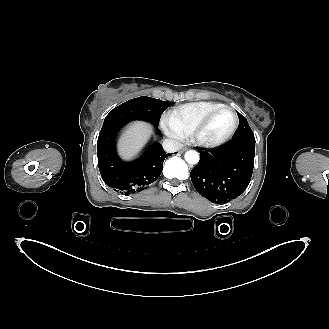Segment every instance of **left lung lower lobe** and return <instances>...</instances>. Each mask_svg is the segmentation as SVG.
Listing matches in <instances>:
<instances>
[{"mask_svg": "<svg viewBox=\"0 0 329 329\" xmlns=\"http://www.w3.org/2000/svg\"><path fill=\"white\" fill-rule=\"evenodd\" d=\"M200 161L191 170L195 189L209 201L220 203L240 196L254 168L255 141H230L218 148H200Z\"/></svg>", "mask_w": 329, "mask_h": 329, "instance_id": "left-lung-lower-lobe-1", "label": "left lung lower lobe"}]
</instances>
